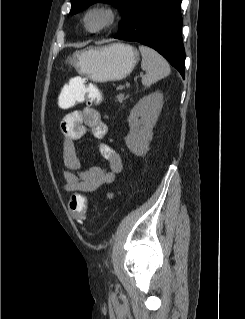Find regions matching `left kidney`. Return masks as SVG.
<instances>
[{
    "label": "left kidney",
    "mask_w": 245,
    "mask_h": 319,
    "mask_svg": "<svg viewBox=\"0 0 245 319\" xmlns=\"http://www.w3.org/2000/svg\"><path fill=\"white\" fill-rule=\"evenodd\" d=\"M162 106L163 93L156 91L140 99L131 110L128 117L130 133L125 143L133 154L142 156L147 152Z\"/></svg>",
    "instance_id": "obj_1"
}]
</instances>
